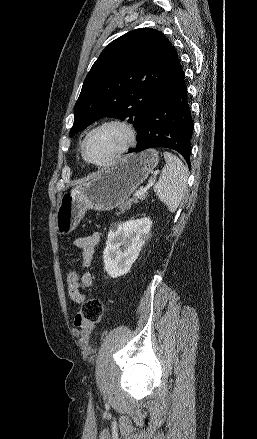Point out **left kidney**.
<instances>
[{
  "label": "left kidney",
  "instance_id": "1",
  "mask_svg": "<svg viewBox=\"0 0 257 439\" xmlns=\"http://www.w3.org/2000/svg\"><path fill=\"white\" fill-rule=\"evenodd\" d=\"M151 226L152 221L145 217L110 228L103 252L104 270L110 277L117 278L129 272L149 236Z\"/></svg>",
  "mask_w": 257,
  "mask_h": 439
}]
</instances>
